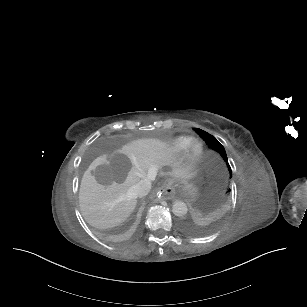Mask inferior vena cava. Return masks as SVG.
I'll return each mask as SVG.
<instances>
[{
	"label": "inferior vena cava",
	"instance_id": "obj_1",
	"mask_svg": "<svg viewBox=\"0 0 307 307\" xmlns=\"http://www.w3.org/2000/svg\"><path fill=\"white\" fill-rule=\"evenodd\" d=\"M151 190V181L150 179L140 180L136 185L132 187V193L136 197L146 196Z\"/></svg>",
	"mask_w": 307,
	"mask_h": 307
}]
</instances>
